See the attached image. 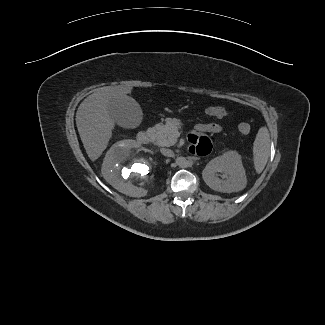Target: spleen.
<instances>
[{"label":"spleen","instance_id":"obj_1","mask_svg":"<svg viewBox=\"0 0 325 325\" xmlns=\"http://www.w3.org/2000/svg\"><path fill=\"white\" fill-rule=\"evenodd\" d=\"M270 154V135L266 127L258 130L253 144V162L256 172L259 174L265 168Z\"/></svg>","mask_w":325,"mask_h":325}]
</instances>
